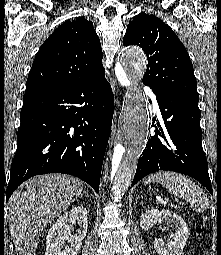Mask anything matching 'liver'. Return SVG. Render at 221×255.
<instances>
[{"label": "liver", "instance_id": "liver-1", "mask_svg": "<svg viewBox=\"0 0 221 255\" xmlns=\"http://www.w3.org/2000/svg\"><path fill=\"white\" fill-rule=\"evenodd\" d=\"M83 191L80 179L65 174L35 176L21 184L7 205L17 255H36L42 230Z\"/></svg>", "mask_w": 221, "mask_h": 255}]
</instances>
